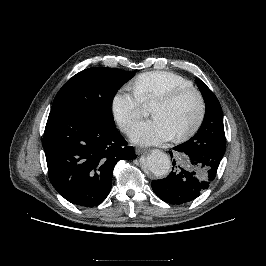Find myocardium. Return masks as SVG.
Segmentation results:
<instances>
[{"label":"myocardium","instance_id":"f54148a6","mask_svg":"<svg viewBox=\"0 0 266 266\" xmlns=\"http://www.w3.org/2000/svg\"><path fill=\"white\" fill-rule=\"evenodd\" d=\"M188 94H193L197 98L198 105H199L198 115L196 117L195 122L188 130L180 134H177L175 136L176 140L178 141L186 140L192 137L200 129L201 125L203 124V121L206 115V102H205L204 96L198 89L194 87H183V88L173 90L163 95L162 97L158 98L153 103V105L154 104L171 105Z\"/></svg>","mask_w":266,"mask_h":266}]
</instances>
